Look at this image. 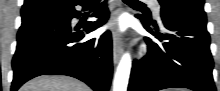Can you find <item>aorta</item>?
<instances>
[{"label": "aorta", "instance_id": "762f6f07", "mask_svg": "<svg viewBox=\"0 0 220 91\" xmlns=\"http://www.w3.org/2000/svg\"><path fill=\"white\" fill-rule=\"evenodd\" d=\"M131 71V56L125 53L117 67L113 82V91H127L129 76Z\"/></svg>", "mask_w": 220, "mask_h": 91}]
</instances>
